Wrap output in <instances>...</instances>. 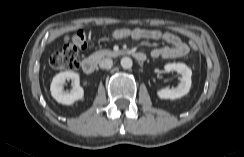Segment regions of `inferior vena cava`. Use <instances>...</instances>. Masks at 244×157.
Instances as JSON below:
<instances>
[{"instance_id":"obj_1","label":"inferior vena cava","mask_w":244,"mask_h":157,"mask_svg":"<svg viewBox=\"0 0 244 157\" xmlns=\"http://www.w3.org/2000/svg\"><path fill=\"white\" fill-rule=\"evenodd\" d=\"M113 61L110 58H104L100 61L99 66L102 69H109L112 67Z\"/></svg>"}]
</instances>
